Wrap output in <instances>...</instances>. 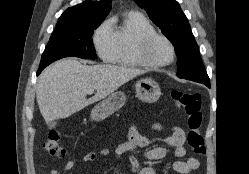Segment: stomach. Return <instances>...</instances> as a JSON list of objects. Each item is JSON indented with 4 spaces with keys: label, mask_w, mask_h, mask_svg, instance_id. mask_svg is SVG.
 Segmentation results:
<instances>
[{
    "label": "stomach",
    "mask_w": 249,
    "mask_h": 174,
    "mask_svg": "<svg viewBox=\"0 0 249 174\" xmlns=\"http://www.w3.org/2000/svg\"><path fill=\"white\" fill-rule=\"evenodd\" d=\"M136 95L143 102L154 103L159 99L161 90L155 81L145 78L136 83ZM125 101L126 96L123 92H113L92 109L91 118L95 121H101L119 110Z\"/></svg>",
    "instance_id": "0dacf381"
}]
</instances>
